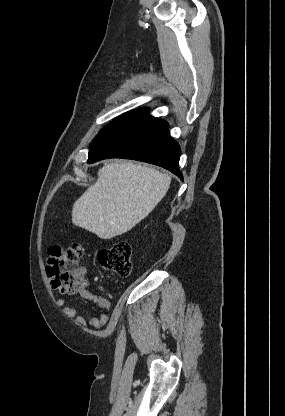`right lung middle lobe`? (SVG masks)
<instances>
[{"instance_id": "obj_1", "label": "right lung middle lobe", "mask_w": 285, "mask_h": 416, "mask_svg": "<svg viewBox=\"0 0 285 416\" xmlns=\"http://www.w3.org/2000/svg\"><path fill=\"white\" fill-rule=\"evenodd\" d=\"M148 111L149 109L147 108H141L120 115L99 132L98 136L94 139L91 148L123 129L150 117Z\"/></svg>"}]
</instances>
